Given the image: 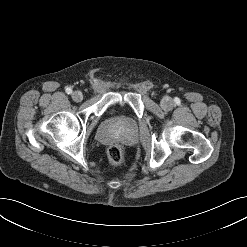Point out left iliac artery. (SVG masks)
I'll list each match as a JSON object with an SVG mask.
<instances>
[{"mask_svg":"<svg viewBox=\"0 0 247 247\" xmlns=\"http://www.w3.org/2000/svg\"><path fill=\"white\" fill-rule=\"evenodd\" d=\"M176 102H178V99L176 98V100H175Z\"/></svg>","mask_w":247,"mask_h":247,"instance_id":"left-iliac-artery-1","label":"left iliac artery"}]
</instances>
